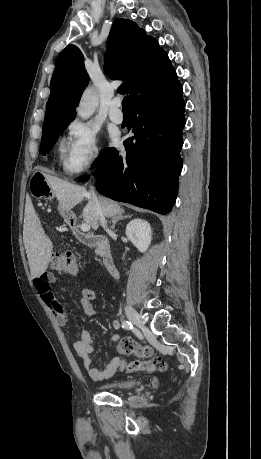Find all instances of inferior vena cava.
Returning <instances> with one entry per match:
<instances>
[{"label": "inferior vena cava", "instance_id": "obj_1", "mask_svg": "<svg viewBox=\"0 0 261 459\" xmlns=\"http://www.w3.org/2000/svg\"><path fill=\"white\" fill-rule=\"evenodd\" d=\"M91 194H92V198H93V201L95 203V208H96V213L97 215L99 216L100 218V222L101 224L106 227L107 226V221L105 219V216H104V213H103V210H102V207H101V204L99 202V199L98 197L96 196V194L94 193L93 189L91 190ZM108 230V229H107Z\"/></svg>", "mask_w": 261, "mask_h": 459}]
</instances>
